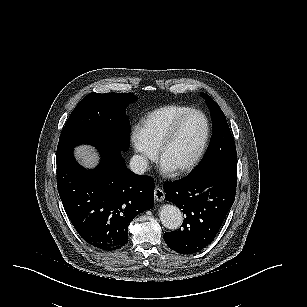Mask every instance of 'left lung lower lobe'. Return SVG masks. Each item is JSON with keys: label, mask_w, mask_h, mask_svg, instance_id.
Wrapping results in <instances>:
<instances>
[{"label": "left lung lower lobe", "mask_w": 307, "mask_h": 307, "mask_svg": "<svg viewBox=\"0 0 307 307\" xmlns=\"http://www.w3.org/2000/svg\"><path fill=\"white\" fill-rule=\"evenodd\" d=\"M236 185L237 174L215 169L164 183L165 199L185 215L181 228L164 233L166 244L181 254L209 245L233 205Z\"/></svg>", "instance_id": "1"}]
</instances>
